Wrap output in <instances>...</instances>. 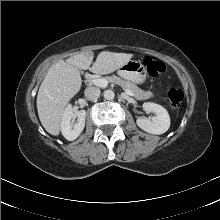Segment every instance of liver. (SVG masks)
<instances>
[{"instance_id":"liver-1","label":"liver","mask_w":220,"mask_h":220,"mask_svg":"<svg viewBox=\"0 0 220 220\" xmlns=\"http://www.w3.org/2000/svg\"><path fill=\"white\" fill-rule=\"evenodd\" d=\"M132 57L131 53L102 51L90 67L94 54L83 52L53 64L40 85L36 101L44 129L51 135H59L65 107L82 85L80 69L105 75L116 71Z\"/></svg>"}]
</instances>
